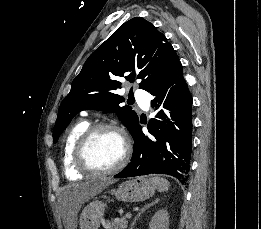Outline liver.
<instances>
[{"label": "liver", "instance_id": "1", "mask_svg": "<svg viewBox=\"0 0 261 229\" xmlns=\"http://www.w3.org/2000/svg\"><path fill=\"white\" fill-rule=\"evenodd\" d=\"M113 183H116L115 179H105V181H94V183H79V185H75V189H73V187H70V189L73 193V199H75L76 205L81 207L83 203H87L89 199H92L95 195H99V193H102L104 189H107V187H110ZM69 223L70 227L75 229L76 223L75 219H73V213H70Z\"/></svg>", "mask_w": 261, "mask_h": 229}]
</instances>
